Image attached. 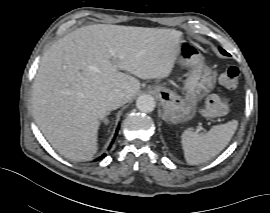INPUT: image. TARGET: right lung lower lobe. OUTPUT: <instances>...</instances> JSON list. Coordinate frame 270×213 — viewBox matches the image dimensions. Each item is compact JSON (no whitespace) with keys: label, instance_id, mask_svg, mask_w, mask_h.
<instances>
[{"label":"right lung lower lobe","instance_id":"obj_1","mask_svg":"<svg viewBox=\"0 0 270 213\" xmlns=\"http://www.w3.org/2000/svg\"><path fill=\"white\" fill-rule=\"evenodd\" d=\"M106 155L104 154V155H102L100 158H98L97 160H99V159H101V158H103V157H105Z\"/></svg>","mask_w":270,"mask_h":213}]
</instances>
